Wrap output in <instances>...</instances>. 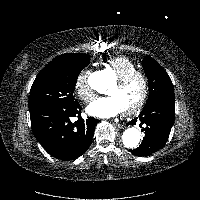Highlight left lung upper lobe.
<instances>
[{
	"label": "left lung upper lobe",
	"mask_w": 200,
	"mask_h": 200,
	"mask_svg": "<svg viewBox=\"0 0 200 200\" xmlns=\"http://www.w3.org/2000/svg\"><path fill=\"white\" fill-rule=\"evenodd\" d=\"M143 68L149 81L146 105L158 100L175 101L173 84L167 72L148 55L143 59Z\"/></svg>",
	"instance_id": "obj_1"
}]
</instances>
